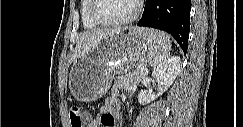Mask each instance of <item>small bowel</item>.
I'll use <instances>...</instances> for the list:
<instances>
[{
	"label": "small bowel",
	"mask_w": 243,
	"mask_h": 127,
	"mask_svg": "<svg viewBox=\"0 0 243 127\" xmlns=\"http://www.w3.org/2000/svg\"><path fill=\"white\" fill-rule=\"evenodd\" d=\"M120 108V102L115 97H110L106 100L101 112L98 116H87V127H118L120 126V117L118 110Z\"/></svg>",
	"instance_id": "obj_1"
}]
</instances>
